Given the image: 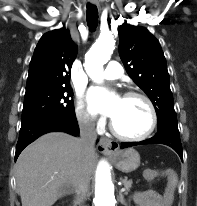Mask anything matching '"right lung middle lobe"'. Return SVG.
Segmentation results:
<instances>
[{
    "label": "right lung middle lobe",
    "instance_id": "dd1d6c3e",
    "mask_svg": "<svg viewBox=\"0 0 197 206\" xmlns=\"http://www.w3.org/2000/svg\"><path fill=\"white\" fill-rule=\"evenodd\" d=\"M72 96L68 85L26 89L21 125L44 117L74 115Z\"/></svg>",
    "mask_w": 197,
    "mask_h": 206
}]
</instances>
